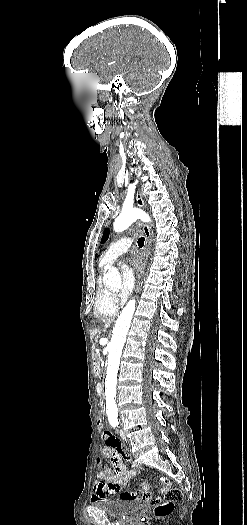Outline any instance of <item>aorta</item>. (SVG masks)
Masks as SVG:
<instances>
[{
    "label": "aorta",
    "mask_w": 247,
    "mask_h": 525,
    "mask_svg": "<svg viewBox=\"0 0 247 525\" xmlns=\"http://www.w3.org/2000/svg\"><path fill=\"white\" fill-rule=\"evenodd\" d=\"M137 219L145 222L150 221V217L143 210L132 208L124 210L115 219L113 229L116 232L126 230ZM104 284L107 287L115 288L121 284V276L118 270L114 267H109L103 277ZM136 301L130 300L123 308L121 314L118 316L115 327L112 331V339L108 344L109 354L107 363V373L105 379V395H106V412L110 422H117L118 409L116 406V383L117 373L120 364V357L122 349L126 341V336L130 328L132 317L135 311Z\"/></svg>",
    "instance_id": "1"
}]
</instances>
